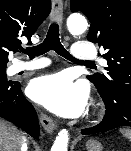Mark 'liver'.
<instances>
[{
	"label": "liver",
	"mask_w": 131,
	"mask_h": 151,
	"mask_svg": "<svg viewBox=\"0 0 131 151\" xmlns=\"http://www.w3.org/2000/svg\"><path fill=\"white\" fill-rule=\"evenodd\" d=\"M22 136L16 127L0 119V151H19Z\"/></svg>",
	"instance_id": "obj_1"
}]
</instances>
